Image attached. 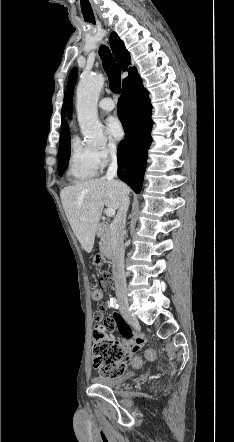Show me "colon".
<instances>
[{
    "instance_id": "1",
    "label": "colon",
    "mask_w": 234,
    "mask_h": 442,
    "mask_svg": "<svg viewBox=\"0 0 234 442\" xmlns=\"http://www.w3.org/2000/svg\"><path fill=\"white\" fill-rule=\"evenodd\" d=\"M98 279L99 286L92 290V299L94 302L102 305L104 292L113 288L114 281L110 271L98 261ZM109 331L97 333L94 330L93 345V365L99 370L103 377H117L125 372L127 364L134 368H140L144 361L152 362L156 359V348L147 346L142 350V355L138 350H124L121 343L108 337Z\"/></svg>"
}]
</instances>
